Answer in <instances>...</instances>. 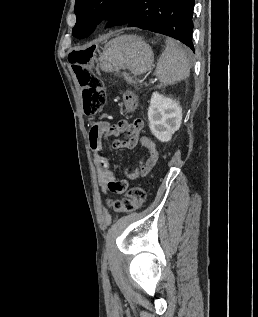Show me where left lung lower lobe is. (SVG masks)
Returning a JSON list of instances; mask_svg holds the SVG:
<instances>
[{"label":"left lung lower lobe","mask_w":258,"mask_h":317,"mask_svg":"<svg viewBox=\"0 0 258 317\" xmlns=\"http://www.w3.org/2000/svg\"><path fill=\"white\" fill-rule=\"evenodd\" d=\"M195 0H138L126 24L175 38L194 51L192 42Z\"/></svg>","instance_id":"obj_1"}]
</instances>
